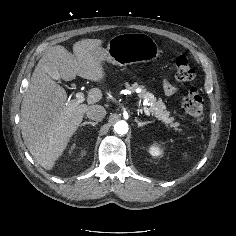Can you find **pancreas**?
Listing matches in <instances>:
<instances>
[{
    "label": "pancreas",
    "mask_w": 236,
    "mask_h": 236,
    "mask_svg": "<svg viewBox=\"0 0 236 236\" xmlns=\"http://www.w3.org/2000/svg\"><path fill=\"white\" fill-rule=\"evenodd\" d=\"M126 87L131 90L132 92H135L136 89H140V93L138 96L140 99L147 100L149 102V111L152 115H154L158 120L163 122L165 125L172 127L175 131H180L178 128L180 124L178 122H174L173 117L170 116V112L166 110V105L162 102L161 99L157 101L156 97H154L153 94L146 91V89L143 86H140L138 84H132L131 86L126 83Z\"/></svg>",
    "instance_id": "cf45deb5"
}]
</instances>
